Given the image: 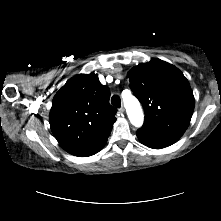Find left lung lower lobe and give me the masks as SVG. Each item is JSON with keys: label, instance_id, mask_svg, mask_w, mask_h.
Segmentation results:
<instances>
[{"label": "left lung lower lobe", "instance_id": "1", "mask_svg": "<svg viewBox=\"0 0 221 221\" xmlns=\"http://www.w3.org/2000/svg\"><path fill=\"white\" fill-rule=\"evenodd\" d=\"M136 135L142 144L153 149H161L168 147L174 144L180 138L177 136L152 132L144 128L138 129Z\"/></svg>", "mask_w": 221, "mask_h": 221}]
</instances>
